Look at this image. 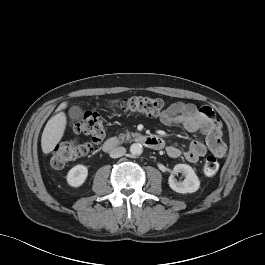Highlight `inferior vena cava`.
<instances>
[{
	"label": "inferior vena cava",
	"mask_w": 265,
	"mask_h": 265,
	"mask_svg": "<svg viewBox=\"0 0 265 265\" xmlns=\"http://www.w3.org/2000/svg\"><path fill=\"white\" fill-rule=\"evenodd\" d=\"M126 149L124 147H116L110 152L111 158H118L125 155Z\"/></svg>",
	"instance_id": "inferior-vena-cava-1"
}]
</instances>
